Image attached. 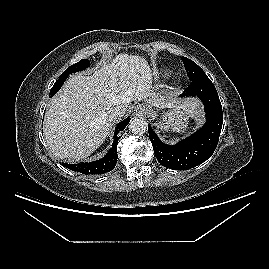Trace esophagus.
I'll return each mask as SVG.
<instances>
[{
	"label": "esophagus",
	"mask_w": 269,
	"mask_h": 269,
	"mask_svg": "<svg viewBox=\"0 0 269 269\" xmlns=\"http://www.w3.org/2000/svg\"><path fill=\"white\" fill-rule=\"evenodd\" d=\"M147 114V110L142 105H137L133 111V116L135 117H143Z\"/></svg>",
	"instance_id": "obj_1"
}]
</instances>
